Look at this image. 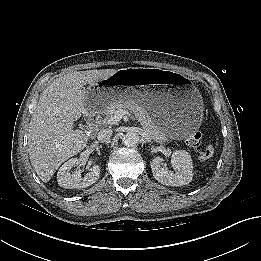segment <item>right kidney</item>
Returning <instances> with one entry per match:
<instances>
[{"label": "right kidney", "mask_w": 261, "mask_h": 261, "mask_svg": "<svg viewBox=\"0 0 261 261\" xmlns=\"http://www.w3.org/2000/svg\"><path fill=\"white\" fill-rule=\"evenodd\" d=\"M80 163L78 158H71L65 162L57 173V182L60 187L73 189V188H86L94 184L100 175V167L94 165L89 173L82 176L80 169L74 173H70L72 167L77 166Z\"/></svg>", "instance_id": "ca27d5eb"}]
</instances>
